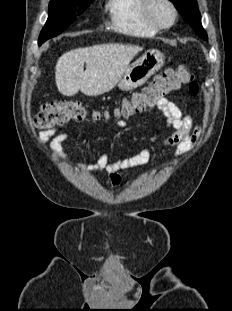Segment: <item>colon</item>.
<instances>
[{"instance_id":"colon-1","label":"colon","mask_w":232,"mask_h":311,"mask_svg":"<svg viewBox=\"0 0 232 311\" xmlns=\"http://www.w3.org/2000/svg\"><path fill=\"white\" fill-rule=\"evenodd\" d=\"M182 86H187L192 95L198 92V85L190 68L187 66L167 68L159 73L149 85L123 100L118 108V115L129 117L141 113L155 106L160 100ZM85 114L84 107L78 101H55L45 104L38 111L34 117V125L38 129L52 128L83 118Z\"/></svg>"}]
</instances>
